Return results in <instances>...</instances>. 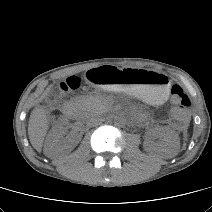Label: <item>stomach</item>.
I'll return each mask as SVG.
<instances>
[{
  "label": "stomach",
  "mask_w": 212,
  "mask_h": 212,
  "mask_svg": "<svg viewBox=\"0 0 212 212\" xmlns=\"http://www.w3.org/2000/svg\"><path fill=\"white\" fill-rule=\"evenodd\" d=\"M85 77L98 86L126 92L151 104H162L169 95L170 80L165 74L140 68L123 70L117 64H105L88 68Z\"/></svg>",
  "instance_id": "0dacf381"
}]
</instances>
